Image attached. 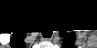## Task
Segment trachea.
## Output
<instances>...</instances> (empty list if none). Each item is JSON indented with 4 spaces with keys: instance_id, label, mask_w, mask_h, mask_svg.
<instances>
[{
    "instance_id": "obj_1",
    "label": "trachea",
    "mask_w": 97,
    "mask_h": 48,
    "mask_svg": "<svg viewBox=\"0 0 97 48\" xmlns=\"http://www.w3.org/2000/svg\"><path fill=\"white\" fill-rule=\"evenodd\" d=\"M51 35H52V30L50 28L43 30L44 37H51Z\"/></svg>"
}]
</instances>
